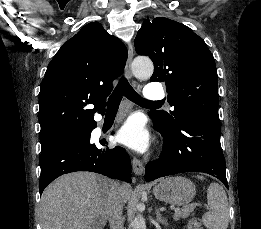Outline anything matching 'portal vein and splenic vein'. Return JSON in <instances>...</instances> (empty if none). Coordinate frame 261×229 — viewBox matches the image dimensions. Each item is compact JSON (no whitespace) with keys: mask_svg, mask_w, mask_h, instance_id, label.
I'll use <instances>...</instances> for the list:
<instances>
[{"mask_svg":"<svg viewBox=\"0 0 261 229\" xmlns=\"http://www.w3.org/2000/svg\"><path fill=\"white\" fill-rule=\"evenodd\" d=\"M188 207H189V208H208V207H209V204H208V203H189V204H188ZM182 211H184V208L177 209V210L175 211V213L181 214Z\"/></svg>","mask_w":261,"mask_h":229,"instance_id":"portal-vein-and-splenic-vein-1","label":"portal vein and splenic vein"}]
</instances>
